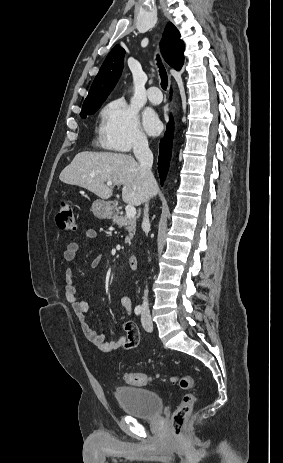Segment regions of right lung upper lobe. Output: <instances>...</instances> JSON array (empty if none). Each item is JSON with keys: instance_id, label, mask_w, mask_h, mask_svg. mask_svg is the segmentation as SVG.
Segmentation results:
<instances>
[{"instance_id": "cb5924a9", "label": "right lung upper lobe", "mask_w": 283, "mask_h": 463, "mask_svg": "<svg viewBox=\"0 0 283 463\" xmlns=\"http://www.w3.org/2000/svg\"><path fill=\"white\" fill-rule=\"evenodd\" d=\"M160 48L169 65L180 70L184 63V43L180 40L179 31L171 22L165 27ZM124 56L125 50L120 45H116L110 51L92 83L83 107L105 101L121 75Z\"/></svg>"}]
</instances>
